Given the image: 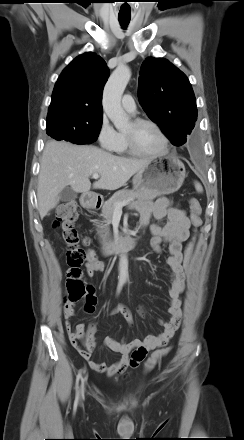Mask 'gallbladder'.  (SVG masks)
<instances>
[{
    "label": "gallbladder",
    "instance_id": "bac80fb5",
    "mask_svg": "<svg viewBox=\"0 0 244 440\" xmlns=\"http://www.w3.org/2000/svg\"><path fill=\"white\" fill-rule=\"evenodd\" d=\"M77 198V193L70 187H65L60 195L59 200L62 202H69Z\"/></svg>",
    "mask_w": 244,
    "mask_h": 440
}]
</instances>
